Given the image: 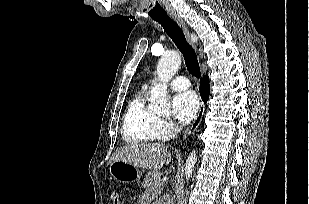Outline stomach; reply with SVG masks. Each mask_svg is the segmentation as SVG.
<instances>
[{
	"label": "stomach",
	"instance_id": "obj_1",
	"mask_svg": "<svg viewBox=\"0 0 309 204\" xmlns=\"http://www.w3.org/2000/svg\"><path fill=\"white\" fill-rule=\"evenodd\" d=\"M109 173L116 181L122 183L138 182L142 176V171L138 167L124 161L111 162Z\"/></svg>",
	"mask_w": 309,
	"mask_h": 204
}]
</instances>
